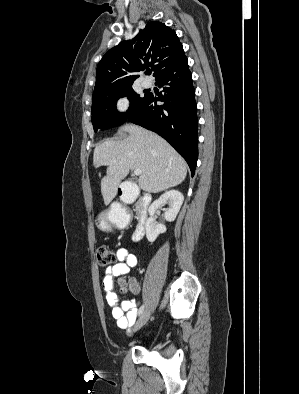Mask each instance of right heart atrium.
<instances>
[{
	"mask_svg": "<svg viewBox=\"0 0 299 394\" xmlns=\"http://www.w3.org/2000/svg\"><path fill=\"white\" fill-rule=\"evenodd\" d=\"M128 100L126 98H121L117 102V109L119 112H125L128 108Z\"/></svg>",
	"mask_w": 299,
	"mask_h": 394,
	"instance_id": "right-heart-atrium-1",
	"label": "right heart atrium"
}]
</instances>
